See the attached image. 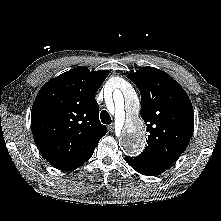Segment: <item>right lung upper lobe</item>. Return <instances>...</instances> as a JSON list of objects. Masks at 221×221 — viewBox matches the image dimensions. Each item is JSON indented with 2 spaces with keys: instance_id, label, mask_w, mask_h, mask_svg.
I'll list each match as a JSON object with an SVG mask.
<instances>
[{
  "instance_id": "obj_1",
  "label": "right lung upper lobe",
  "mask_w": 221,
  "mask_h": 221,
  "mask_svg": "<svg viewBox=\"0 0 221 221\" xmlns=\"http://www.w3.org/2000/svg\"><path fill=\"white\" fill-rule=\"evenodd\" d=\"M109 71L71 69L48 81L32 106L34 141L45 159L62 169L94 150L107 128L99 120L95 93Z\"/></svg>"
}]
</instances>
